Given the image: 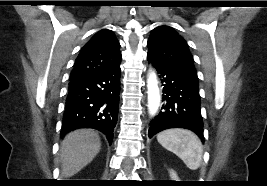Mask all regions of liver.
I'll list each match as a JSON object with an SVG mask.
<instances>
[{
    "label": "liver",
    "mask_w": 267,
    "mask_h": 186,
    "mask_svg": "<svg viewBox=\"0 0 267 186\" xmlns=\"http://www.w3.org/2000/svg\"><path fill=\"white\" fill-rule=\"evenodd\" d=\"M100 148V137L92 129H78L68 133L60 148L62 176L69 178L78 173L94 159Z\"/></svg>",
    "instance_id": "liver-1"
}]
</instances>
